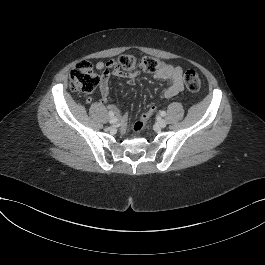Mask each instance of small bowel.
Instances as JSON below:
<instances>
[{
	"instance_id": "c3829d8e",
	"label": "small bowel",
	"mask_w": 265,
	"mask_h": 265,
	"mask_svg": "<svg viewBox=\"0 0 265 265\" xmlns=\"http://www.w3.org/2000/svg\"><path fill=\"white\" fill-rule=\"evenodd\" d=\"M96 68L102 71V76L99 84V91L101 94V103L108 104V98L110 94V75L113 74L117 77H122L126 79V82L129 85H134L137 81L139 75L136 73H124L120 70L118 63L115 60H109L107 62H98ZM154 77L160 80H166L169 82V85L164 90V96L166 98H172L184 89L183 85V70L181 67L176 65H166L163 69L158 72H155ZM86 102L88 104L92 103V98H87ZM108 107L116 113L119 118V122L122 126H125L129 121L128 114H123L118 107L113 104H108Z\"/></svg>"
}]
</instances>
